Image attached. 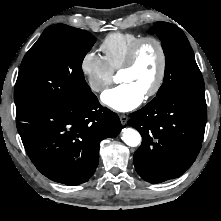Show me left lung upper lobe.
Masks as SVG:
<instances>
[{
	"label": "left lung upper lobe",
	"instance_id": "5c2ea615",
	"mask_svg": "<svg viewBox=\"0 0 221 221\" xmlns=\"http://www.w3.org/2000/svg\"><path fill=\"white\" fill-rule=\"evenodd\" d=\"M150 33L162 40L166 56L164 80L156 96L166 92L205 96L204 81L184 32L171 23L157 22Z\"/></svg>",
	"mask_w": 221,
	"mask_h": 221
}]
</instances>
